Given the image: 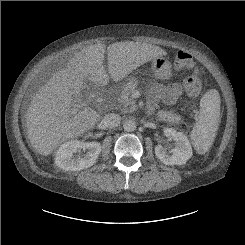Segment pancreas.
I'll return each instance as SVG.
<instances>
[{"label": "pancreas", "instance_id": "pancreas-1", "mask_svg": "<svg viewBox=\"0 0 245 245\" xmlns=\"http://www.w3.org/2000/svg\"><path fill=\"white\" fill-rule=\"evenodd\" d=\"M138 83L136 79L131 78L123 88L118 101L122 106V112L127 113L136 110L135 100L132 98V92L137 88ZM157 117L161 121L178 123L181 121V117L172 111L160 110L157 113Z\"/></svg>", "mask_w": 245, "mask_h": 245}]
</instances>
